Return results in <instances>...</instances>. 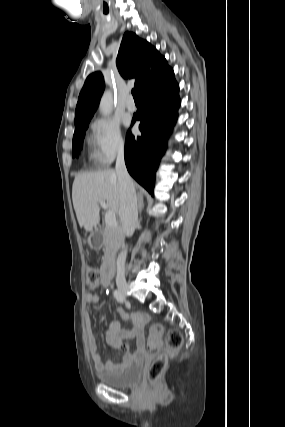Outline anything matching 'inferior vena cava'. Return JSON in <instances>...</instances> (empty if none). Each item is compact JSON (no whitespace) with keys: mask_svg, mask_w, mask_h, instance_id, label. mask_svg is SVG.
Instances as JSON below:
<instances>
[{"mask_svg":"<svg viewBox=\"0 0 285 427\" xmlns=\"http://www.w3.org/2000/svg\"><path fill=\"white\" fill-rule=\"evenodd\" d=\"M115 171L118 177L121 195L119 215L122 223V230L127 237H130L133 235L138 223V208L134 184L125 165L123 148L118 151ZM126 256L127 249L121 252L117 258V274L119 275L124 274Z\"/></svg>","mask_w":285,"mask_h":427,"instance_id":"obj_1","label":"inferior vena cava"}]
</instances>
